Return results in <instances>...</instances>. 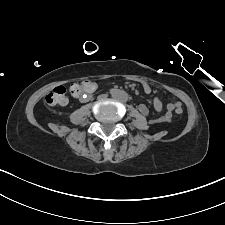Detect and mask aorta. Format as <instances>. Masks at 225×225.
I'll return each instance as SVG.
<instances>
[{"mask_svg":"<svg viewBox=\"0 0 225 225\" xmlns=\"http://www.w3.org/2000/svg\"><path fill=\"white\" fill-rule=\"evenodd\" d=\"M112 96L120 101H126L128 99V94L123 90H114Z\"/></svg>","mask_w":225,"mask_h":225,"instance_id":"762f6f07","label":"aorta"}]
</instances>
